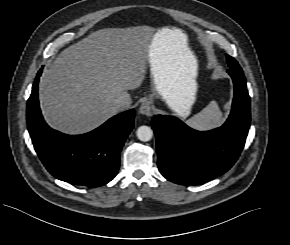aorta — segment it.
I'll return each instance as SVG.
<instances>
[{
	"label": "aorta",
	"mask_w": 290,
	"mask_h": 245,
	"mask_svg": "<svg viewBox=\"0 0 290 245\" xmlns=\"http://www.w3.org/2000/svg\"><path fill=\"white\" fill-rule=\"evenodd\" d=\"M137 137L140 141L147 142L150 141L153 137V130L148 126H140L137 129Z\"/></svg>",
	"instance_id": "aorta-1"
}]
</instances>
